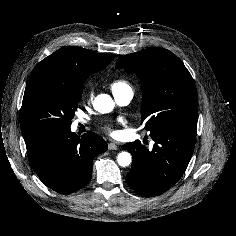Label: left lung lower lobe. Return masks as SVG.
I'll return each mask as SVG.
<instances>
[{
	"label": "left lung lower lobe",
	"instance_id": "0a47b994",
	"mask_svg": "<svg viewBox=\"0 0 236 236\" xmlns=\"http://www.w3.org/2000/svg\"><path fill=\"white\" fill-rule=\"evenodd\" d=\"M150 137L152 150L139 140L122 146L133 156L127 183L145 197L164 193L182 177L194 151L196 128L167 126L151 131Z\"/></svg>",
	"mask_w": 236,
	"mask_h": 236
}]
</instances>
